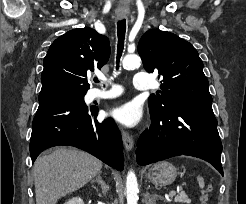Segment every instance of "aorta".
I'll return each instance as SVG.
<instances>
[{"label":"aorta","instance_id":"aorta-1","mask_svg":"<svg viewBox=\"0 0 246 204\" xmlns=\"http://www.w3.org/2000/svg\"><path fill=\"white\" fill-rule=\"evenodd\" d=\"M141 59L138 55L129 54L123 59V66L125 68H135L140 66ZM126 198L127 204L138 203V182L135 173L130 170L126 177Z\"/></svg>","mask_w":246,"mask_h":204}]
</instances>
